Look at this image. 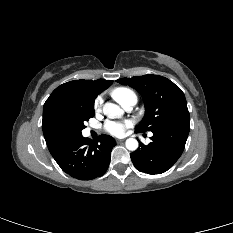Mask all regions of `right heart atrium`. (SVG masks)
Wrapping results in <instances>:
<instances>
[{"instance_id": "1", "label": "right heart atrium", "mask_w": 233, "mask_h": 233, "mask_svg": "<svg viewBox=\"0 0 233 233\" xmlns=\"http://www.w3.org/2000/svg\"><path fill=\"white\" fill-rule=\"evenodd\" d=\"M101 104H102V98L99 96L96 98L95 103H94L95 109H100Z\"/></svg>"}]
</instances>
